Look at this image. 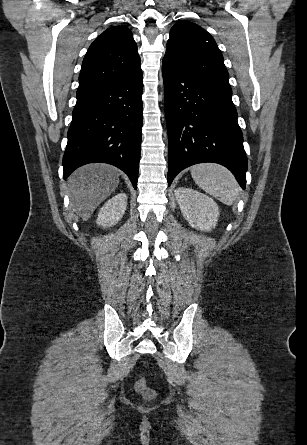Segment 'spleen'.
I'll use <instances>...</instances> for the list:
<instances>
[{"label":"spleen","instance_id":"spleen-1","mask_svg":"<svg viewBox=\"0 0 307 445\" xmlns=\"http://www.w3.org/2000/svg\"><path fill=\"white\" fill-rule=\"evenodd\" d=\"M191 174L196 184L224 202L233 204V200L239 194L240 186L232 172L214 162H204V164H194L191 166Z\"/></svg>","mask_w":307,"mask_h":445}]
</instances>
